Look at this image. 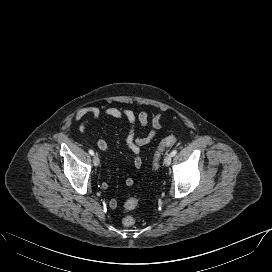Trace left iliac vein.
I'll list each match as a JSON object with an SVG mask.
<instances>
[{
  "label": "left iliac vein",
  "instance_id": "1",
  "mask_svg": "<svg viewBox=\"0 0 272 272\" xmlns=\"http://www.w3.org/2000/svg\"><path fill=\"white\" fill-rule=\"evenodd\" d=\"M171 161H172V156L171 154H167L164 158V164L166 166H169L171 164Z\"/></svg>",
  "mask_w": 272,
  "mask_h": 272
}]
</instances>
